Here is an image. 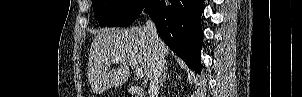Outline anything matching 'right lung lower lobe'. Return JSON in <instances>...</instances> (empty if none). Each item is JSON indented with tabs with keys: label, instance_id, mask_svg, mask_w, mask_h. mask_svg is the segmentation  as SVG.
Listing matches in <instances>:
<instances>
[{
	"label": "right lung lower lobe",
	"instance_id": "98d812e1",
	"mask_svg": "<svg viewBox=\"0 0 302 97\" xmlns=\"http://www.w3.org/2000/svg\"><path fill=\"white\" fill-rule=\"evenodd\" d=\"M144 8L165 43L189 68L201 73L203 0H149Z\"/></svg>",
	"mask_w": 302,
	"mask_h": 97
}]
</instances>
